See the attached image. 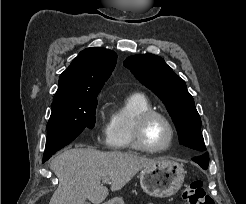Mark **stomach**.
Listing matches in <instances>:
<instances>
[{"label":"stomach","mask_w":246,"mask_h":204,"mask_svg":"<svg viewBox=\"0 0 246 204\" xmlns=\"http://www.w3.org/2000/svg\"><path fill=\"white\" fill-rule=\"evenodd\" d=\"M185 177L183 165L167 159H160L144 168L140 173L143 191L157 198L170 197L181 188ZM105 204H124L121 197H114Z\"/></svg>","instance_id":"obj_1"}]
</instances>
